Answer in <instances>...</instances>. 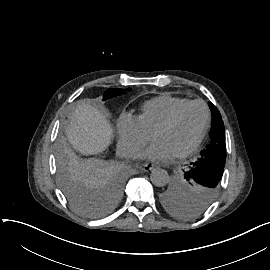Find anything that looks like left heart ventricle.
I'll return each instance as SVG.
<instances>
[{
    "label": "left heart ventricle",
    "mask_w": 270,
    "mask_h": 270,
    "mask_svg": "<svg viewBox=\"0 0 270 270\" xmlns=\"http://www.w3.org/2000/svg\"><path fill=\"white\" fill-rule=\"evenodd\" d=\"M204 122V110L195 105L188 108L177 123L167 129H161L151 137L167 143L178 155L187 149L199 136Z\"/></svg>",
    "instance_id": "b2bd125f"
}]
</instances>
